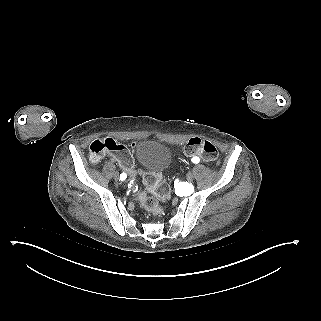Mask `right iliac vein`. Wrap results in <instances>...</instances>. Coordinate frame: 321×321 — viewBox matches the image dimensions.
<instances>
[{
  "label": "right iliac vein",
  "mask_w": 321,
  "mask_h": 321,
  "mask_svg": "<svg viewBox=\"0 0 321 321\" xmlns=\"http://www.w3.org/2000/svg\"><path fill=\"white\" fill-rule=\"evenodd\" d=\"M113 177H114L115 180L118 181V180H119V174H118V172H114V173H113Z\"/></svg>",
  "instance_id": "1"
}]
</instances>
